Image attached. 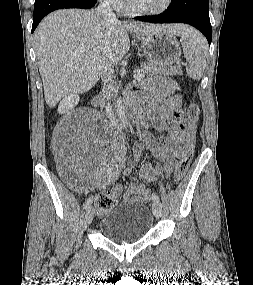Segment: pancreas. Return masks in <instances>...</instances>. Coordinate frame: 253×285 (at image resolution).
<instances>
[{
  "label": "pancreas",
  "mask_w": 253,
  "mask_h": 285,
  "mask_svg": "<svg viewBox=\"0 0 253 285\" xmlns=\"http://www.w3.org/2000/svg\"><path fill=\"white\" fill-rule=\"evenodd\" d=\"M136 71H140L144 76H152L154 74H164V75H182L180 66L165 67L161 65H156L152 63H142L140 68ZM118 86L115 82H111L106 91L110 97H115L117 94Z\"/></svg>",
  "instance_id": "cf45deb5"
}]
</instances>
